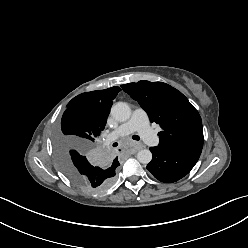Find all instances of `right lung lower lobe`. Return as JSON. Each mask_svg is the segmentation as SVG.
<instances>
[{
	"instance_id": "obj_1",
	"label": "right lung lower lobe",
	"mask_w": 248,
	"mask_h": 248,
	"mask_svg": "<svg viewBox=\"0 0 248 248\" xmlns=\"http://www.w3.org/2000/svg\"><path fill=\"white\" fill-rule=\"evenodd\" d=\"M70 158L74 164L79 165L83 162L81 158L84 157L79 152L73 150L72 153H70Z\"/></svg>"
}]
</instances>
